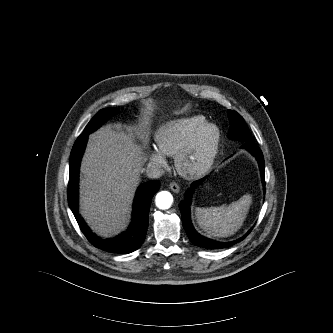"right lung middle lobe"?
Here are the masks:
<instances>
[{"mask_svg":"<svg viewBox=\"0 0 333 333\" xmlns=\"http://www.w3.org/2000/svg\"><path fill=\"white\" fill-rule=\"evenodd\" d=\"M117 113L116 108H105L100 110L86 126L83 134H90L99 128L109 117Z\"/></svg>","mask_w":333,"mask_h":333,"instance_id":"obj_1","label":"right lung middle lobe"}]
</instances>
